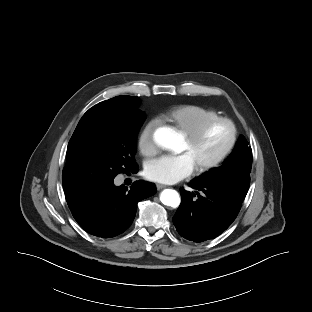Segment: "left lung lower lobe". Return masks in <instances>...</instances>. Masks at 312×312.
I'll use <instances>...</instances> for the list:
<instances>
[{"label":"left lung lower lobe","instance_id":"obj_1","mask_svg":"<svg viewBox=\"0 0 312 312\" xmlns=\"http://www.w3.org/2000/svg\"><path fill=\"white\" fill-rule=\"evenodd\" d=\"M189 186L200 193L180 189L182 201L173 217L177 232L194 242L219 236L235 220L244 199L220 183L193 180Z\"/></svg>","mask_w":312,"mask_h":312}]
</instances>
